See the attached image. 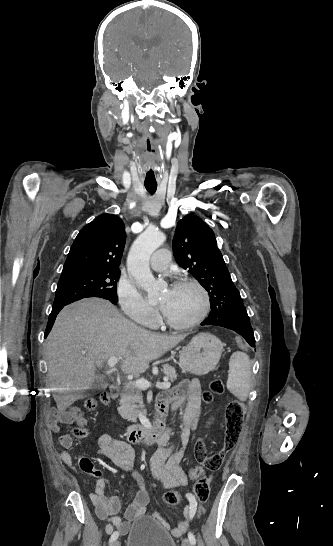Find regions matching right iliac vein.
<instances>
[{
	"label": "right iliac vein",
	"mask_w": 333,
	"mask_h": 546,
	"mask_svg": "<svg viewBox=\"0 0 333 546\" xmlns=\"http://www.w3.org/2000/svg\"><path fill=\"white\" fill-rule=\"evenodd\" d=\"M111 546H121V543L119 540H115L112 542Z\"/></svg>",
	"instance_id": "obj_1"
}]
</instances>
